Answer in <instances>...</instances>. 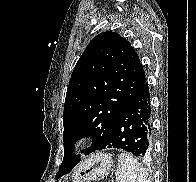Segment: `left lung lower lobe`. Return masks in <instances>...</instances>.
Listing matches in <instances>:
<instances>
[{
	"mask_svg": "<svg viewBox=\"0 0 196 182\" xmlns=\"http://www.w3.org/2000/svg\"><path fill=\"white\" fill-rule=\"evenodd\" d=\"M151 134L150 93L148 84L145 81L141 89L120 111L109 134L94 151L116 148L130 152L136 157L148 158L152 153ZM73 150L71 149L67 152L66 162L73 161L79 157V155L75 156L73 154ZM79 161L80 158L76 160V163H79Z\"/></svg>",
	"mask_w": 196,
	"mask_h": 182,
	"instance_id": "1",
	"label": "left lung lower lobe"
}]
</instances>
